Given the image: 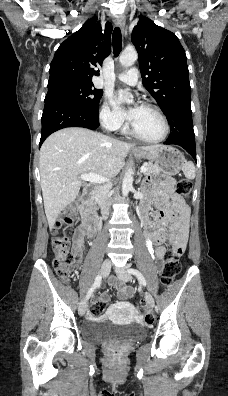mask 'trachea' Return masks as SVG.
I'll list each match as a JSON object with an SVG mask.
<instances>
[{
  "mask_svg": "<svg viewBox=\"0 0 228 396\" xmlns=\"http://www.w3.org/2000/svg\"><path fill=\"white\" fill-rule=\"evenodd\" d=\"M112 44H113L114 56L117 57L122 47V35L119 27H116L113 31Z\"/></svg>",
  "mask_w": 228,
  "mask_h": 396,
  "instance_id": "3493384b",
  "label": "trachea"
}]
</instances>
